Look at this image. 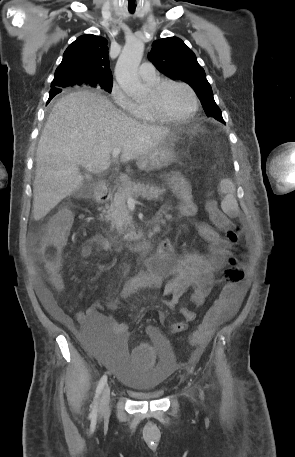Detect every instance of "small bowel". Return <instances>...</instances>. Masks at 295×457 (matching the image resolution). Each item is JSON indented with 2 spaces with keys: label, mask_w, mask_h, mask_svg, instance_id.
Wrapping results in <instances>:
<instances>
[{
  "label": "small bowel",
  "mask_w": 295,
  "mask_h": 457,
  "mask_svg": "<svg viewBox=\"0 0 295 457\" xmlns=\"http://www.w3.org/2000/svg\"><path fill=\"white\" fill-rule=\"evenodd\" d=\"M167 185L177 195L179 204L176 207L166 206L158 216L161 223L173 218H190L197 213L196 204L193 201L191 190L187 182L178 176H170ZM196 230L200 237L207 243L206 252L199 253L184 245L178 250L171 238L163 239L158 245L157 254L146 263V269L135 278L129 280L123 286L120 297L112 301L110 306L119 309L123 301L129 298L137 289L143 286L158 288L161 290L162 301L169 307H173L181 297L191 291L189 304L181 309L183 320L174 322L170 330L172 333L185 331L189 324L197 317L195 308L202 306L213 286L215 285V273L221 270L231 255L232 242L222 237L217 230L206 223H196ZM96 243L104 250H110V243L104 236L96 238ZM91 253V247L84 249V254ZM38 295L45 308L59 319H67L51 293L39 285ZM241 300L233 311L237 309ZM160 321L164 316L160 314ZM79 321L90 334L100 332H112L124 335L127 325L115 320L113 317L102 314L98 306L94 305L79 315ZM148 335L157 343H162L160 330L155 326L147 327ZM102 338V337H99ZM198 349L197 354H200Z\"/></svg>",
  "instance_id": "1"
}]
</instances>
